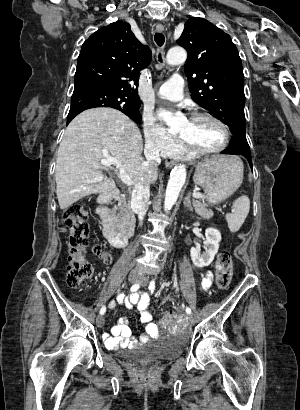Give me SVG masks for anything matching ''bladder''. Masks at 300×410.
Segmentation results:
<instances>
[{
  "label": "bladder",
  "mask_w": 300,
  "mask_h": 410,
  "mask_svg": "<svg viewBox=\"0 0 300 410\" xmlns=\"http://www.w3.org/2000/svg\"><path fill=\"white\" fill-rule=\"evenodd\" d=\"M182 348V344L167 340L160 344L147 345L136 350H128L125 351L124 354L127 358L137 362H151L180 356Z\"/></svg>",
  "instance_id": "bladder-1"
}]
</instances>
